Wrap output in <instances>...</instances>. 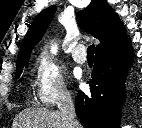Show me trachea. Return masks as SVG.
<instances>
[{"label": "trachea", "mask_w": 142, "mask_h": 128, "mask_svg": "<svg viewBox=\"0 0 142 128\" xmlns=\"http://www.w3.org/2000/svg\"><path fill=\"white\" fill-rule=\"evenodd\" d=\"M87 58L94 59V44L90 45L87 49Z\"/></svg>", "instance_id": "1"}]
</instances>
